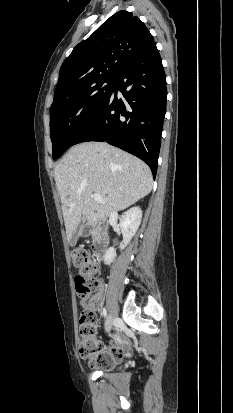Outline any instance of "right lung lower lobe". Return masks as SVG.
I'll use <instances>...</instances> for the list:
<instances>
[{
    "label": "right lung lower lobe",
    "instance_id": "right-lung-lower-lobe-1",
    "mask_svg": "<svg viewBox=\"0 0 233 413\" xmlns=\"http://www.w3.org/2000/svg\"><path fill=\"white\" fill-rule=\"evenodd\" d=\"M166 98V76L154 42L119 70L111 96L72 145L106 141L145 161L155 178Z\"/></svg>",
    "mask_w": 233,
    "mask_h": 413
}]
</instances>
